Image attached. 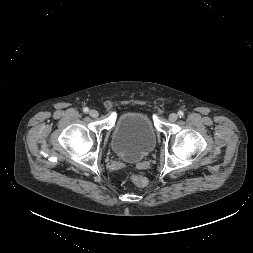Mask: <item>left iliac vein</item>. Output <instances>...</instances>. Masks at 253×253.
Here are the masks:
<instances>
[{"instance_id":"1","label":"left iliac vein","mask_w":253,"mask_h":253,"mask_svg":"<svg viewBox=\"0 0 253 253\" xmlns=\"http://www.w3.org/2000/svg\"><path fill=\"white\" fill-rule=\"evenodd\" d=\"M177 118H178V115H177L176 113H171V114L169 115V120H170L171 122H175V121L177 120Z\"/></svg>"}]
</instances>
